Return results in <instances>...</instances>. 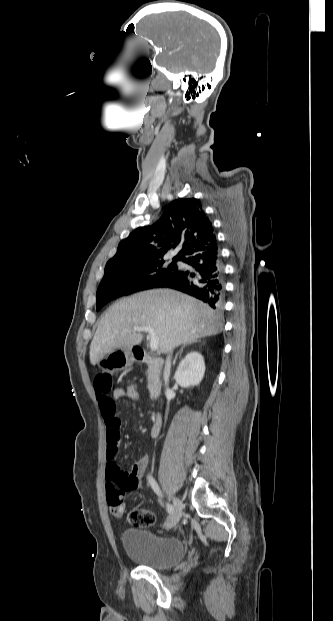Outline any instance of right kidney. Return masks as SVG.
Segmentation results:
<instances>
[{
	"mask_svg": "<svg viewBox=\"0 0 333 621\" xmlns=\"http://www.w3.org/2000/svg\"><path fill=\"white\" fill-rule=\"evenodd\" d=\"M205 373V362L199 352H190L181 360L175 372V380L181 387L198 385Z\"/></svg>",
	"mask_w": 333,
	"mask_h": 621,
	"instance_id": "right-kidney-1",
	"label": "right kidney"
}]
</instances>
